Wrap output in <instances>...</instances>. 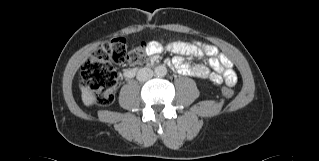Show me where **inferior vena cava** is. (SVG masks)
Returning <instances> with one entry per match:
<instances>
[{
	"instance_id": "602c4592",
	"label": "inferior vena cava",
	"mask_w": 319,
	"mask_h": 161,
	"mask_svg": "<svg viewBox=\"0 0 319 161\" xmlns=\"http://www.w3.org/2000/svg\"><path fill=\"white\" fill-rule=\"evenodd\" d=\"M153 71L150 68H141L138 72H137V80L144 82L147 81L149 79H151L153 77Z\"/></svg>"
}]
</instances>
